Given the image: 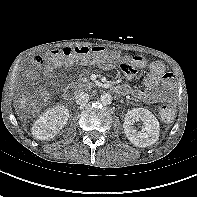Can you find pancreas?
<instances>
[{
  "mask_svg": "<svg viewBox=\"0 0 197 197\" xmlns=\"http://www.w3.org/2000/svg\"><path fill=\"white\" fill-rule=\"evenodd\" d=\"M81 82L82 83L79 84V87L91 88L93 86V84L85 77L81 78Z\"/></svg>",
  "mask_w": 197,
  "mask_h": 197,
  "instance_id": "pancreas-1",
  "label": "pancreas"
}]
</instances>
